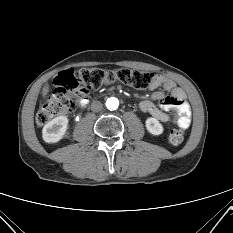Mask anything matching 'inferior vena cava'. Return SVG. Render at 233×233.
<instances>
[{
  "instance_id": "obj_1",
  "label": "inferior vena cava",
  "mask_w": 233,
  "mask_h": 233,
  "mask_svg": "<svg viewBox=\"0 0 233 233\" xmlns=\"http://www.w3.org/2000/svg\"><path fill=\"white\" fill-rule=\"evenodd\" d=\"M103 109V105H102V103L100 102V101H93L92 103H91V110L93 111V112H99V111H101Z\"/></svg>"
}]
</instances>
